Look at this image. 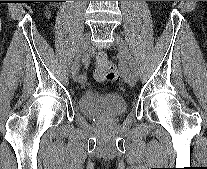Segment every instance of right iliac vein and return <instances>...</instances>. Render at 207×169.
<instances>
[{
    "instance_id": "63e3f726",
    "label": "right iliac vein",
    "mask_w": 207,
    "mask_h": 169,
    "mask_svg": "<svg viewBox=\"0 0 207 169\" xmlns=\"http://www.w3.org/2000/svg\"><path fill=\"white\" fill-rule=\"evenodd\" d=\"M89 33H85L81 39V42H80V45H79V48H78V51H77V54H76V58L72 64V67H71V76L73 78L74 81H79L78 80V72H79V62H80V57L81 55H83L86 51H87V48H88V45H89Z\"/></svg>"
}]
</instances>
